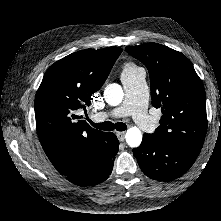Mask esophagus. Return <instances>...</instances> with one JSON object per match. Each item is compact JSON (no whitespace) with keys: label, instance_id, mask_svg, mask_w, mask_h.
Returning <instances> with one entry per match:
<instances>
[{"label":"esophagus","instance_id":"obj_1","mask_svg":"<svg viewBox=\"0 0 221 221\" xmlns=\"http://www.w3.org/2000/svg\"><path fill=\"white\" fill-rule=\"evenodd\" d=\"M117 138L120 142H123L125 139V133L124 132H116Z\"/></svg>","mask_w":221,"mask_h":221}]
</instances>
